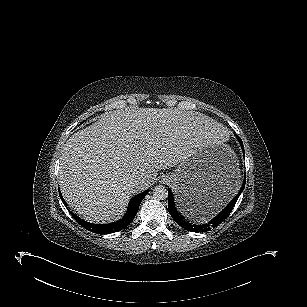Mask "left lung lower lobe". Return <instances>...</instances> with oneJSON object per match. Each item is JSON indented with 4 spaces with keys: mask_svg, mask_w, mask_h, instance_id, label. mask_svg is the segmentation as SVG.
Wrapping results in <instances>:
<instances>
[{
    "mask_svg": "<svg viewBox=\"0 0 307 307\" xmlns=\"http://www.w3.org/2000/svg\"><path fill=\"white\" fill-rule=\"evenodd\" d=\"M236 137L241 144L243 153H245L243 143H242L240 137H238V136H236ZM245 181H246V179H244L243 185H242L239 193L235 196V198L216 217H214L208 223H205V224H202V225H195V224H191L188 221H186L185 218H183L177 212V209H175L174 202H173V194H172L171 190L168 188V209H169V213H170L171 217L174 219V221L178 225H180L182 228H184L185 230H188V231H191V232H198V233L210 231L211 229H213L216 226H218L219 224H221L229 216V214L231 213L236 201L238 200L240 194L242 193V191L244 189Z\"/></svg>",
    "mask_w": 307,
    "mask_h": 307,
    "instance_id": "obj_1",
    "label": "left lung lower lobe"
}]
</instances>
